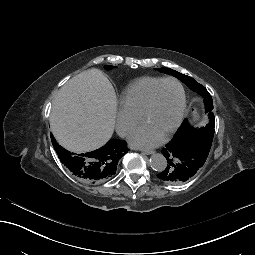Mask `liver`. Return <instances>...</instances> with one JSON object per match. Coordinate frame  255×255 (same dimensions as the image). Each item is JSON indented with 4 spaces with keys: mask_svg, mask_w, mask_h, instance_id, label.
<instances>
[{
    "mask_svg": "<svg viewBox=\"0 0 255 255\" xmlns=\"http://www.w3.org/2000/svg\"><path fill=\"white\" fill-rule=\"evenodd\" d=\"M117 99L98 69L81 72L58 91L52 102L50 127L58 143L82 153L103 146L112 136Z\"/></svg>",
    "mask_w": 255,
    "mask_h": 255,
    "instance_id": "liver-1",
    "label": "liver"
}]
</instances>
